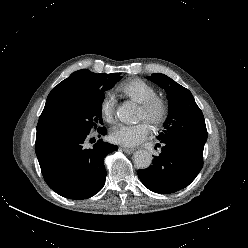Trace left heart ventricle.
<instances>
[{"label": "left heart ventricle", "instance_id": "left-heart-ventricle-1", "mask_svg": "<svg viewBox=\"0 0 248 248\" xmlns=\"http://www.w3.org/2000/svg\"><path fill=\"white\" fill-rule=\"evenodd\" d=\"M138 119L139 120H146L145 113L143 112V110L140 107L138 109Z\"/></svg>", "mask_w": 248, "mask_h": 248}]
</instances>
